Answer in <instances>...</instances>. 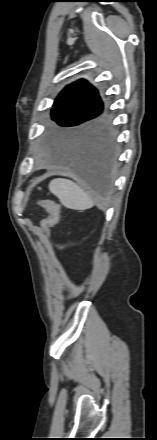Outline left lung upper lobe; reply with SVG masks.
Here are the masks:
<instances>
[{"label": "left lung upper lobe", "instance_id": "1", "mask_svg": "<svg viewBox=\"0 0 157 440\" xmlns=\"http://www.w3.org/2000/svg\"><path fill=\"white\" fill-rule=\"evenodd\" d=\"M102 110L97 90L81 79L62 90L54 102L51 116L59 125L72 127L71 137L75 139L109 127L101 116Z\"/></svg>", "mask_w": 157, "mask_h": 440}]
</instances>
